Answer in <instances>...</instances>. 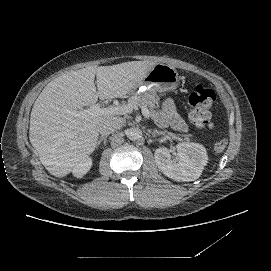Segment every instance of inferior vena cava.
Here are the masks:
<instances>
[{
	"label": "inferior vena cava",
	"mask_w": 271,
	"mask_h": 271,
	"mask_svg": "<svg viewBox=\"0 0 271 271\" xmlns=\"http://www.w3.org/2000/svg\"><path fill=\"white\" fill-rule=\"evenodd\" d=\"M123 126L122 120H114L102 123L99 125V133L109 135Z\"/></svg>",
	"instance_id": "inferior-vena-cava-1"
}]
</instances>
